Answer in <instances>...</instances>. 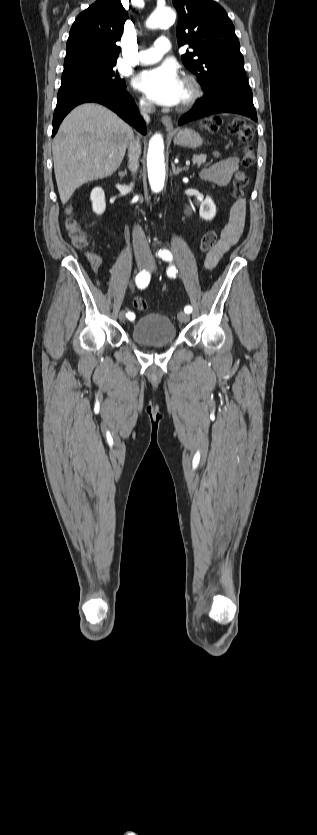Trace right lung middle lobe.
I'll use <instances>...</instances> for the list:
<instances>
[{
    "label": "right lung middle lobe",
    "mask_w": 317,
    "mask_h": 835,
    "mask_svg": "<svg viewBox=\"0 0 317 835\" xmlns=\"http://www.w3.org/2000/svg\"><path fill=\"white\" fill-rule=\"evenodd\" d=\"M115 62H101L96 60H72L64 62L62 84L58 97H62L79 90L112 86L126 88L125 81L118 72L113 70Z\"/></svg>",
    "instance_id": "dd1d6c3e"
}]
</instances>
